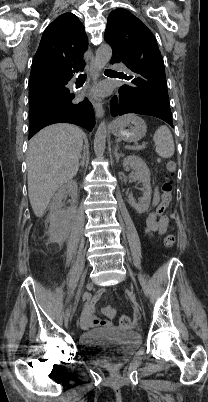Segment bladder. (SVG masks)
Listing matches in <instances>:
<instances>
[{"label":"bladder","mask_w":208,"mask_h":402,"mask_svg":"<svg viewBox=\"0 0 208 402\" xmlns=\"http://www.w3.org/2000/svg\"><path fill=\"white\" fill-rule=\"evenodd\" d=\"M140 342V335L118 328L90 330L83 332L81 336L83 349L89 355H107L113 358L132 353L139 347ZM104 363H108V360Z\"/></svg>","instance_id":"bladder-1"}]
</instances>
